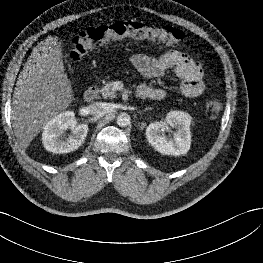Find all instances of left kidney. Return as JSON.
I'll use <instances>...</instances> for the list:
<instances>
[{"mask_svg": "<svg viewBox=\"0 0 263 263\" xmlns=\"http://www.w3.org/2000/svg\"><path fill=\"white\" fill-rule=\"evenodd\" d=\"M191 116L181 111H171L167 114L165 122H154L146 128L148 142L160 153L179 156L186 154L191 145L190 133ZM166 125L176 128L174 139L167 140L161 134Z\"/></svg>", "mask_w": 263, "mask_h": 263, "instance_id": "left-kidney-1", "label": "left kidney"}]
</instances>
